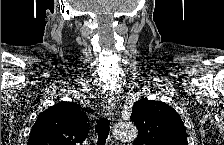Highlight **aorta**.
<instances>
[{
  "mask_svg": "<svg viewBox=\"0 0 224 145\" xmlns=\"http://www.w3.org/2000/svg\"><path fill=\"white\" fill-rule=\"evenodd\" d=\"M113 136L119 141H133L137 137V129L132 122L118 123L113 130Z\"/></svg>",
  "mask_w": 224,
  "mask_h": 145,
  "instance_id": "1",
  "label": "aorta"
}]
</instances>
